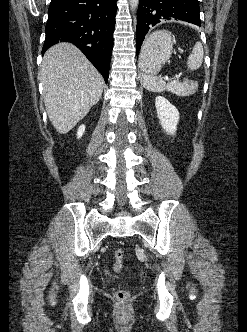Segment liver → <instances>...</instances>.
<instances>
[{"label":"liver","instance_id":"6515ba94","mask_svg":"<svg viewBox=\"0 0 247 332\" xmlns=\"http://www.w3.org/2000/svg\"><path fill=\"white\" fill-rule=\"evenodd\" d=\"M40 80L48 117L60 134L82 120L101 98L104 79L74 45L61 42L44 54Z\"/></svg>","mask_w":247,"mask_h":332}]
</instances>
